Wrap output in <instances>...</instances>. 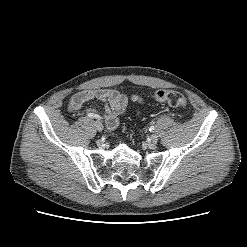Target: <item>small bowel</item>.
I'll list each match as a JSON object with an SVG mask.
<instances>
[{
    "instance_id": "small-bowel-1",
    "label": "small bowel",
    "mask_w": 247,
    "mask_h": 247,
    "mask_svg": "<svg viewBox=\"0 0 247 247\" xmlns=\"http://www.w3.org/2000/svg\"><path fill=\"white\" fill-rule=\"evenodd\" d=\"M93 99H98L105 104L102 112L88 109L87 114L96 115L102 118L109 129L114 130L119 125V117L127 111L129 100L142 104L143 100L138 95H131L129 98L113 89L83 90L74 94L68 103L69 111L80 110L84 103Z\"/></svg>"
}]
</instances>
